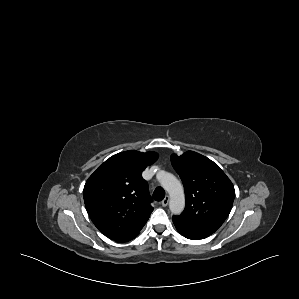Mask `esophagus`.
<instances>
[{
	"mask_svg": "<svg viewBox=\"0 0 299 299\" xmlns=\"http://www.w3.org/2000/svg\"><path fill=\"white\" fill-rule=\"evenodd\" d=\"M168 203H169V196H166V197L162 200L161 205H162L163 207H165V206L168 205Z\"/></svg>",
	"mask_w": 299,
	"mask_h": 299,
	"instance_id": "34e87169",
	"label": "esophagus"
}]
</instances>
